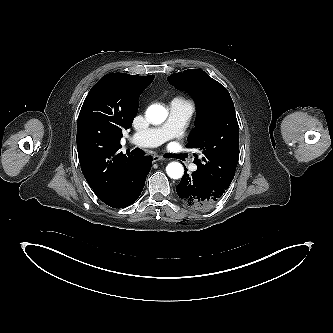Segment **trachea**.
<instances>
[{
  "mask_svg": "<svg viewBox=\"0 0 333 333\" xmlns=\"http://www.w3.org/2000/svg\"><path fill=\"white\" fill-rule=\"evenodd\" d=\"M131 154L136 156H143L145 152L139 148H135L131 151ZM165 157H167V155H165Z\"/></svg>",
  "mask_w": 333,
  "mask_h": 333,
  "instance_id": "obj_1",
  "label": "trachea"
}]
</instances>
